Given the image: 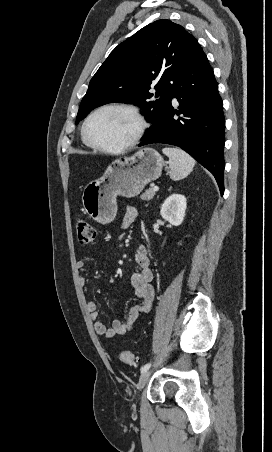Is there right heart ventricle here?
<instances>
[{
	"instance_id": "1",
	"label": "right heart ventricle",
	"mask_w": 272,
	"mask_h": 452,
	"mask_svg": "<svg viewBox=\"0 0 272 452\" xmlns=\"http://www.w3.org/2000/svg\"><path fill=\"white\" fill-rule=\"evenodd\" d=\"M83 143H84L86 146L90 147V146L84 141V139H83Z\"/></svg>"
}]
</instances>
